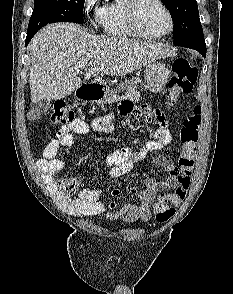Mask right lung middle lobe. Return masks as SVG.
<instances>
[{
	"mask_svg": "<svg viewBox=\"0 0 233 294\" xmlns=\"http://www.w3.org/2000/svg\"><path fill=\"white\" fill-rule=\"evenodd\" d=\"M85 0H35L28 25V35H34L43 26L55 22L83 24Z\"/></svg>",
	"mask_w": 233,
	"mask_h": 294,
	"instance_id": "1",
	"label": "right lung middle lobe"
}]
</instances>
